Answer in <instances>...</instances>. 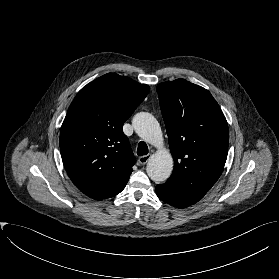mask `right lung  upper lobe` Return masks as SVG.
Listing matches in <instances>:
<instances>
[{
	"label": "right lung upper lobe",
	"mask_w": 279,
	"mask_h": 279,
	"mask_svg": "<svg viewBox=\"0 0 279 279\" xmlns=\"http://www.w3.org/2000/svg\"><path fill=\"white\" fill-rule=\"evenodd\" d=\"M149 89L108 73L72 101L61 127L60 151L70 179L90 198L113 197L128 182L135 161L122 127Z\"/></svg>",
	"instance_id": "obj_1"
}]
</instances>
